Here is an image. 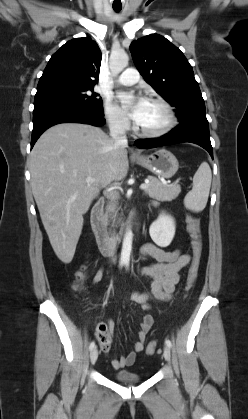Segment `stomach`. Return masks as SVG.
I'll list each match as a JSON object with an SVG mask.
<instances>
[{
	"mask_svg": "<svg viewBox=\"0 0 248 419\" xmlns=\"http://www.w3.org/2000/svg\"><path fill=\"white\" fill-rule=\"evenodd\" d=\"M135 161L138 165L162 178H171L179 168L176 157L165 149H159L147 156L136 157Z\"/></svg>",
	"mask_w": 248,
	"mask_h": 419,
	"instance_id": "obj_1",
	"label": "stomach"
}]
</instances>
